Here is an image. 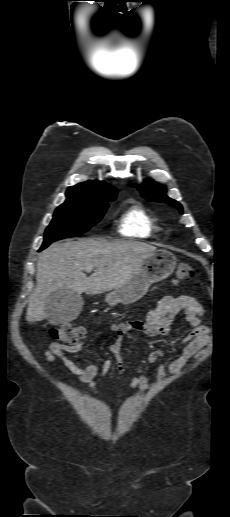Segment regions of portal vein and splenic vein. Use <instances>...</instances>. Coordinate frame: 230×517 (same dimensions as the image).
I'll list each match as a JSON object with an SVG mask.
<instances>
[{"instance_id":"obj_1","label":"portal vein and splenic vein","mask_w":230,"mask_h":517,"mask_svg":"<svg viewBox=\"0 0 230 517\" xmlns=\"http://www.w3.org/2000/svg\"><path fill=\"white\" fill-rule=\"evenodd\" d=\"M94 268L92 266H87L84 268L86 272H91Z\"/></svg>"}]
</instances>
